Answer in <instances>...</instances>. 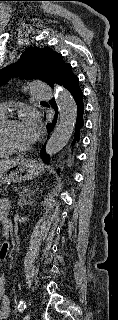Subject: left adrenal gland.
<instances>
[{
	"label": "left adrenal gland",
	"instance_id": "1",
	"mask_svg": "<svg viewBox=\"0 0 118 320\" xmlns=\"http://www.w3.org/2000/svg\"><path fill=\"white\" fill-rule=\"evenodd\" d=\"M27 192H29L28 194H26V197L28 196V197H30L31 196V194L33 193V191H31L30 192V190H28V189H25L24 190V192H23V194L21 195L22 196V199H24V195H25V193H27Z\"/></svg>",
	"mask_w": 118,
	"mask_h": 320
}]
</instances>
